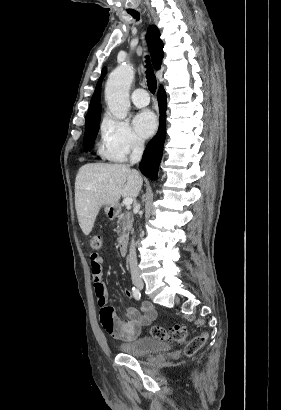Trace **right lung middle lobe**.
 <instances>
[{
	"label": "right lung middle lobe",
	"instance_id": "1",
	"mask_svg": "<svg viewBox=\"0 0 281 410\" xmlns=\"http://www.w3.org/2000/svg\"><path fill=\"white\" fill-rule=\"evenodd\" d=\"M100 117H96L90 120H87L85 123V135H84V150L90 151L93 147L94 140L96 139L98 130H99Z\"/></svg>",
	"mask_w": 281,
	"mask_h": 410
}]
</instances>
